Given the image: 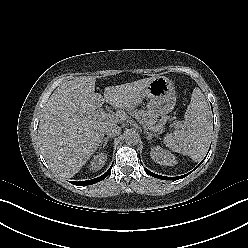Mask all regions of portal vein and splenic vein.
<instances>
[{"mask_svg": "<svg viewBox=\"0 0 248 248\" xmlns=\"http://www.w3.org/2000/svg\"><path fill=\"white\" fill-rule=\"evenodd\" d=\"M101 115H102L103 118L111 117V116H112V115L107 114V113H105V112H102ZM135 118L139 121L140 124L144 125V122H143L139 117H135ZM178 126H179V125L177 124L176 127H178Z\"/></svg>", "mask_w": 248, "mask_h": 248, "instance_id": "portal-vein-and-splenic-vein-1", "label": "portal vein and splenic vein"}]
</instances>
